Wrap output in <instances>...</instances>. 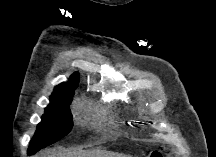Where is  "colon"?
<instances>
[{
  "mask_svg": "<svg viewBox=\"0 0 216 157\" xmlns=\"http://www.w3.org/2000/svg\"><path fill=\"white\" fill-rule=\"evenodd\" d=\"M151 157H161V153L159 151H155Z\"/></svg>",
  "mask_w": 216,
  "mask_h": 157,
  "instance_id": "5ec220e1",
  "label": "colon"
}]
</instances>
